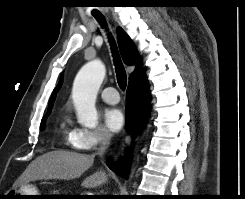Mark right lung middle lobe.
<instances>
[{"mask_svg":"<svg viewBox=\"0 0 245 199\" xmlns=\"http://www.w3.org/2000/svg\"><path fill=\"white\" fill-rule=\"evenodd\" d=\"M48 116H49V115L43 117V119H42V121H41V129L44 128V122H45V120L47 119Z\"/></svg>","mask_w":245,"mask_h":199,"instance_id":"right-lung-middle-lobe-1","label":"right lung middle lobe"}]
</instances>
